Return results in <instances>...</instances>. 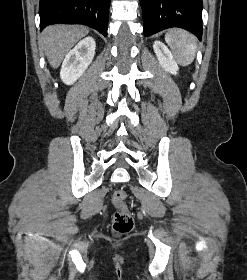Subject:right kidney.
Segmentation results:
<instances>
[{
    "label": "right kidney",
    "mask_w": 247,
    "mask_h": 280,
    "mask_svg": "<svg viewBox=\"0 0 247 280\" xmlns=\"http://www.w3.org/2000/svg\"><path fill=\"white\" fill-rule=\"evenodd\" d=\"M96 43L92 37L82 39L66 55L60 72L62 81L73 84L85 72L95 55Z\"/></svg>",
    "instance_id": "ca27d5eb"
}]
</instances>
